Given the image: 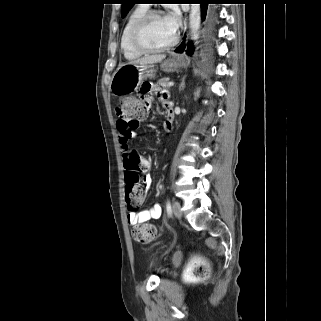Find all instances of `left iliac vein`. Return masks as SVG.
Wrapping results in <instances>:
<instances>
[{
    "label": "left iliac vein",
    "instance_id": "1",
    "mask_svg": "<svg viewBox=\"0 0 321 321\" xmlns=\"http://www.w3.org/2000/svg\"><path fill=\"white\" fill-rule=\"evenodd\" d=\"M172 210H173V213L174 215L177 217V218H181L182 216V211H181V206L178 202H173L172 204Z\"/></svg>",
    "mask_w": 321,
    "mask_h": 321
}]
</instances>
